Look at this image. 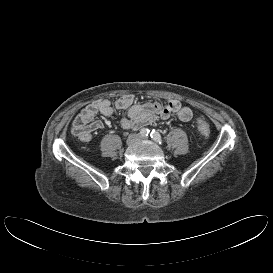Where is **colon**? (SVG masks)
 Listing matches in <instances>:
<instances>
[{
  "label": "colon",
  "instance_id": "5ec220e1",
  "mask_svg": "<svg viewBox=\"0 0 273 273\" xmlns=\"http://www.w3.org/2000/svg\"><path fill=\"white\" fill-rule=\"evenodd\" d=\"M197 129L204 136H208L211 131L208 121L204 118L197 119Z\"/></svg>",
  "mask_w": 273,
  "mask_h": 273
}]
</instances>
